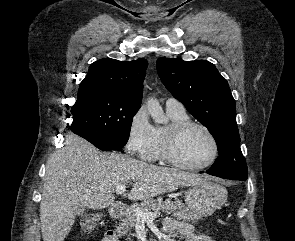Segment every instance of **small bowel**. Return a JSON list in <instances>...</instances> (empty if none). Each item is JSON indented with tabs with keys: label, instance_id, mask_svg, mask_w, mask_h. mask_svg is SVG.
Instances as JSON below:
<instances>
[{
	"label": "small bowel",
	"instance_id": "obj_1",
	"mask_svg": "<svg viewBox=\"0 0 295 241\" xmlns=\"http://www.w3.org/2000/svg\"><path fill=\"white\" fill-rule=\"evenodd\" d=\"M163 229L168 234L180 235L185 241H212L211 238L203 232L196 231L189 223L177 220L172 217L165 218ZM102 241H117L113 232H107Z\"/></svg>",
	"mask_w": 295,
	"mask_h": 241
}]
</instances>
